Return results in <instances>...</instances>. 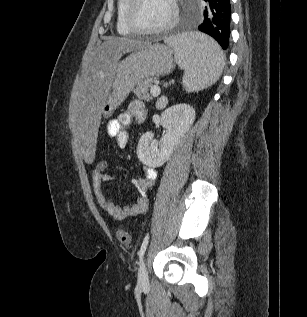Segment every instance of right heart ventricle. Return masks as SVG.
<instances>
[{"instance_id":"1","label":"right heart ventricle","mask_w":307,"mask_h":317,"mask_svg":"<svg viewBox=\"0 0 307 317\" xmlns=\"http://www.w3.org/2000/svg\"><path fill=\"white\" fill-rule=\"evenodd\" d=\"M128 0H117L116 8V30L120 35H133L134 33L128 28L125 21V9Z\"/></svg>"}]
</instances>
